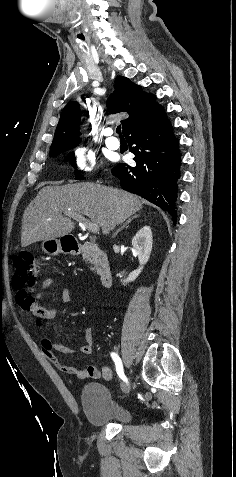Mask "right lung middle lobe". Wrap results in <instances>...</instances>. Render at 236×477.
Masks as SVG:
<instances>
[{"label": "right lung middle lobe", "instance_id": "1", "mask_svg": "<svg viewBox=\"0 0 236 477\" xmlns=\"http://www.w3.org/2000/svg\"><path fill=\"white\" fill-rule=\"evenodd\" d=\"M65 150H66V149H56V150H52V151H50V157H56V156H58L60 153L64 152ZM67 160L70 161V163L72 164L73 167L76 166L75 158L73 157L72 154H69V155H68ZM78 172H79V171H78ZM76 179L82 180L83 177L77 175V176H76Z\"/></svg>", "mask_w": 236, "mask_h": 477}]
</instances>
